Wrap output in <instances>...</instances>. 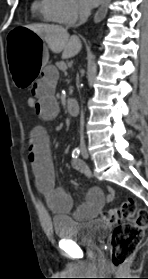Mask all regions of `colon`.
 Masks as SVG:
<instances>
[{
  "mask_svg": "<svg viewBox=\"0 0 148 279\" xmlns=\"http://www.w3.org/2000/svg\"><path fill=\"white\" fill-rule=\"evenodd\" d=\"M26 104L36 109L38 102L30 95ZM102 219L115 225L110 238L111 260L114 266L125 264L140 245L144 230L148 226V211L138 207L133 199H126L118 206L103 212Z\"/></svg>",
  "mask_w": 148,
  "mask_h": 279,
  "instance_id": "1",
  "label": "colon"
}]
</instances>
